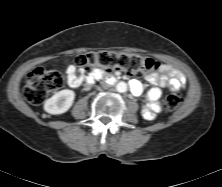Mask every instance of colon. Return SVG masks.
I'll use <instances>...</instances> for the list:
<instances>
[{
    "instance_id": "5ec220e1",
    "label": "colon",
    "mask_w": 222,
    "mask_h": 187,
    "mask_svg": "<svg viewBox=\"0 0 222 187\" xmlns=\"http://www.w3.org/2000/svg\"><path fill=\"white\" fill-rule=\"evenodd\" d=\"M74 63L76 68L87 77L96 73H108L115 69L129 74H139L155 72L159 68V63L152 58L109 51L79 55ZM63 82L61 73L37 67L28 75L24 96L31 104H41L50 92L60 89ZM180 102L179 94L169 93L165 98V107L169 111H174L179 107Z\"/></svg>"
}]
</instances>
